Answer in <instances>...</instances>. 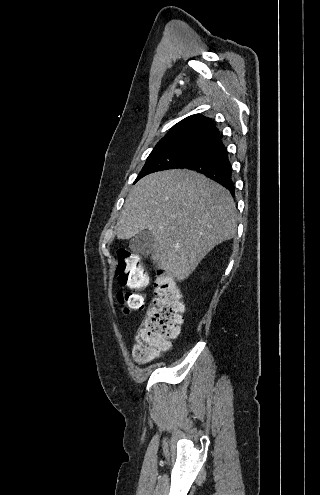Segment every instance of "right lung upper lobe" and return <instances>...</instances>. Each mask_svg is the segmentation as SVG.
<instances>
[{
  "mask_svg": "<svg viewBox=\"0 0 320 495\" xmlns=\"http://www.w3.org/2000/svg\"><path fill=\"white\" fill-rule=\"evenodd\" d=\"M218 134L219 131L210 118L195 114L175 124L158 144L186 139L208 141Z\"/></svg>",
  "mask_w": 320,
  "mask_h": 495,
  "instance_id": "obj_1",
  "label": "right lung upper lobe"
}]
</instances>
